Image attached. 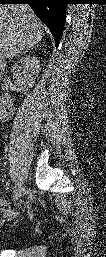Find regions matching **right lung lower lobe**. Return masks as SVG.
I'll return each instance as SVG.
<instances>
[{
    "label": "right lung lower lobe",
    "instance_id": "1",
    "mask_svg": "<svg viewBox=\"0 0 106 257\" xmlns=\"http://www.w3.org/2000/svg\"><path fill=\"white\" fill-rule=\"evenodd\" d=\"M0 4H29L38 18L51 31L56 47L59 45L68 0H0Z\"/></svg>",
    "mask_w": 106,
    "mask_h": 257
}]
</instances>
